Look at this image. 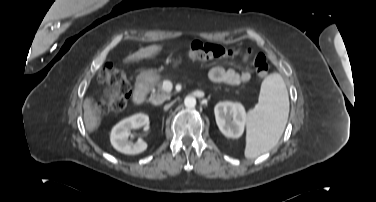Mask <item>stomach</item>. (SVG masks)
Wrapping results in <instances>:
<instances>
[{"mask_svg":"<svg viewBox=\"0 0 376 202\" xmlns=\"http://www.w3.org/2000/svg\"><path fill=\"white\" fill-rule=\"evenodd\" d=\"M180 63H181V59L176 61V65H178ZM139 77H141L144 81L149 82V81L156 79L158 77V73H157L156 70L149 69V70H145V71L141 72Z\"/></svg>","mask_w":376,"mask_h":202,"instance_id":"obj_1","label":"stomach"}]
</instances>
